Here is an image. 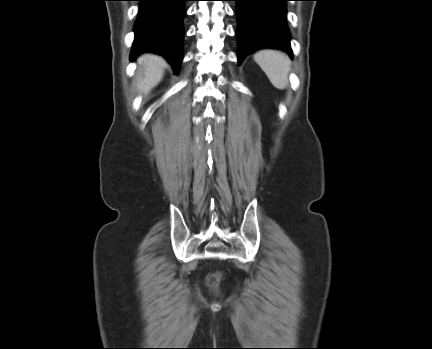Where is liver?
<instances>
[{
	"instance_id": "liver-1",
	"label": "liver",
	"mask_w": 432,
	"mask_h": 349,
	"mask_svg": "<svg viewBox=\"0 0 432 349\" xmlns=\"http://www.w3.org/2000/svg\"><path fill=\"white\" fill-rule=\"evenodd\" d=\"M165 60L157 55L145 54L138 59L136 72L137 85L140 92L147 93L162 80Z\"/></svg>"
}]
</instances>
